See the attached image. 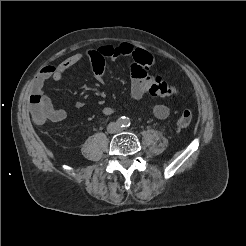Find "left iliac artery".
Here are the masks:
<instances>
[{
	"label": "left iliac artery",
	"instance_id": "obj_1",
	"mask_svg": "<svg viewBox=\"0 0 246 246\" xmlns=\"http://www.w3.org/2000/svg\"><path fill=\"white\" fill-rule=\"evenodd\" d=\"M124 125H125V127L130 126V120L129 119H126L125 122H124Z\"/></svg>",
	"mask_w": 246,
	"mask_h": 246
}]
</instances>
